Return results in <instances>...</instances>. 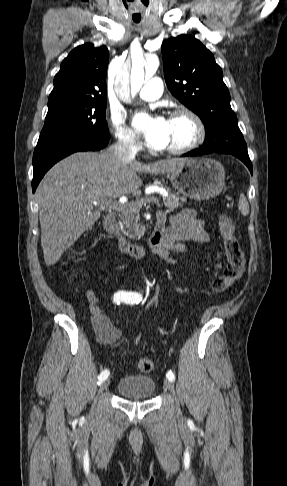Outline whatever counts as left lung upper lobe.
I'll return each mask as SVG.
<instances>
[{
	"instance_id": "obj_1",
	"label": "left lung upper lobe",
	"mask_w": 287,
	"mask_h": 486,
	"mask_svg": "<svg viewBox=\"0 0 287 486\" xmlns=\"http://www.w3.org/2000/svg\"><path fill=\"white\" fill-rule=\"evenodd\" d=\"M165 81L170 92L202 120L206 136L202 150L248 154L230 106L223 73L212 53L195 37L179 35L161 47Z\"/></svg>"
}]
</instances>
